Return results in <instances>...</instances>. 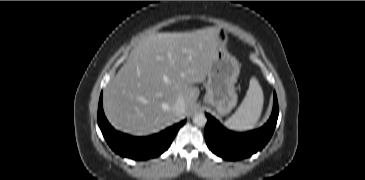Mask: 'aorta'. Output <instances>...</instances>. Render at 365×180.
I'll return each mask as SVG.
<instances>
[{
    "instance_id": "aorta-1",
    "label": "aorta",
    "mask_w": 365,
    "mask_h": 180,
    "mask_svg": "<svg viewBox=\"0 0 365 180\" xmlns=\"http://www.w3.org/2000/svg\"><path fill=\"white\" fill-rule=\"evenodd\" d=\"M193 123L197 126H205L207 123V118L203 113H197L193 117Z\"/></svg>"
}]
</instances>
